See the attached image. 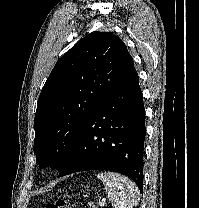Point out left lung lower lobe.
I'll list each match as a JSON object with an SVG mask.
<instances>
[{
	"mask_svg": "<svg viewBox=\"0 0 199 208\" xmlns=\"http://www.w3.org/2000/svg\"><path fill=\"white\" fill-rule=\"evenodd\" d=\"M145 132L142 92L133 64L86 121L58 177L110 170L129 176L142 192Z\"/></svg>",
	"mask_w": 199,
	"mask_h": 208,
	"instance_id": "left-lung-lower-lobe-1",
	"label": "left lung lower lobe"
}]
</instances>
